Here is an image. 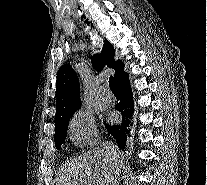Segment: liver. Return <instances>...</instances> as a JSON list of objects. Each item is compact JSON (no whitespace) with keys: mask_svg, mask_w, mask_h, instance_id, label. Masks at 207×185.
I'll return each instance as SVG.
<instances>
[{"mask_svg":"<svg viewBox=\"0 0 207 185\" xmlns=\"http://www.w3.org/2000/svg\"><path fill=\"white\" fill-rule=\"evenodd\" d=\"M119 157L118 147H114V151L107 149V151L87 153L80 161H71L69 163L66 181L68 185H79L78 181H83L84 183L85 179H87L85 173H88V165L97 163V165H101V169H105L102 175H100L97 185H105V183L106 185H112L114 183L113 179H115V169H121ZM72 173H75V175H72Z\"/></svg>","mask_w":207,"mask_h":185,"instance_id":"obj_1","label":"liver"}]
</instances>
